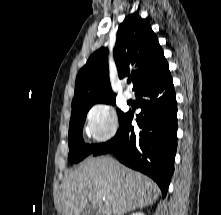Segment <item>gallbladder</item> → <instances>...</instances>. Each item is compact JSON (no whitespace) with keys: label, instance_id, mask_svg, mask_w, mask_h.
I'll return each instance as SVG.
<instances>
[{"label":"gallbladder","instance_id":"1","mask_svg":"<svg viewBox=\"0 0 221 215\" xmlns=\"http://www.w3.org/2000/svg\"><path fill=\"white\" fill-rule=\"evenodd\" d=\"M81 215H96V214L91 204H88Z\"/></svg>","mask_w":221,"mask_h":215}]
</instances>
